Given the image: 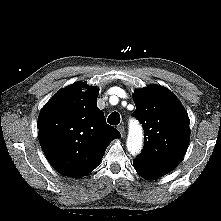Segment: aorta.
<instances>
[{
    "label": "aorta",
    "mask_w": 221,
    "mask_h": 221,
    "mask_svg": "<svg viewBox=\"0 0 221 221\" xmlns=\"http://www.w3.org/2000/svg\"><path fill=\"white\" fill-rule=\"evenodd\" d=\"M143 134L138 123L133 122L130 125L129 135L127 139V149L132 155H136L142 148Z\"/></svg>",
    "instance_id": "1"
}]
</instances>
